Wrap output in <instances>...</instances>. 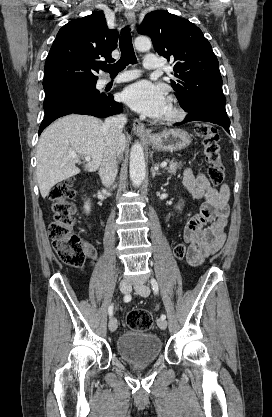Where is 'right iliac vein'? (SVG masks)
I'll use <instances>...</instances> for the list:
<instances>
[{
    "label": "right iliac vein",
    "mask_w": 272,
    "mask_h": 417,
    "mask_svg": "<svg viewBox=\"0 0 272 417\" xmlns=\"http://www.w3.org/2000/svg\"><path fill=\"white\" fill-rule=\"evenodd\" d=\"M120 291L124 294H128L131 290V284L128 280H122L119 285ZM109 330L114 332L117 329L118 323L115 317H111L109 320Z\"/></svg>",
    "instance_id": "right-iliac-vein-1"
}]
</instances>
